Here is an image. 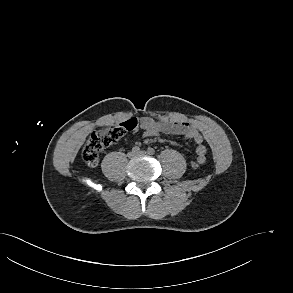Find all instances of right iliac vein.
<instances>
[{"label":"right iliac vein","mask_w":293,"mask_h":293,"mask_svg":"<svg viewBox=\"0 0 293 293\" xmlns=\"http://www.w3.org/2000/svg\"><path fill=\"white\" fill-rule=\"evenodd\" d=\"M136 155H137V153L134 152V151H130V152L128 153V157H129V158H134Z\"/></svg>","instance_id":"63e3f726"}]
</instances>
